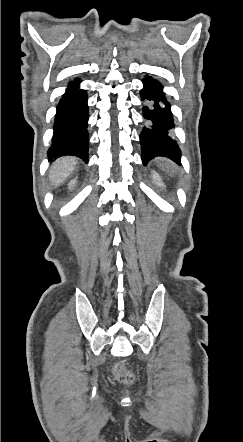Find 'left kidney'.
<instances>
[{"mask_svg": "<svg viewBox=\"0 0 243 442\" xmlns=\"http://www.w3.org/2000/svg\"><path fill=\"white\" fill-rule=\"evenodd\" d=\"M152 176H153V179L157 181V184H158V185H163V183L161 182V180H160V178H159V176H158L157 173H155V172L153 171Z\"/></svg>", "mask_w": 243, "mask_h": 442, "instance_id": "left-kidney-1", "label": "left kidney"}]
</instances>
